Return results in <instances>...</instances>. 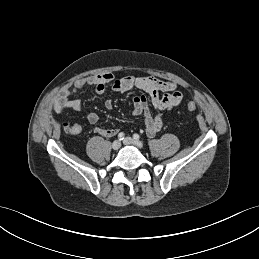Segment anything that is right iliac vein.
<instances>
[{"mask_svg": "<svg viewBox=\"0 0 259 259\" xmlns=\"http://www.w3.org/2000/svg\"><path fill=\"white\" fill-rule=\"evenodd\" d=\"M120 146H121V142H120L119 140H116V141H114V142L112 143V148H113L114 150H118V149L120 148Z\"/></svg>", "mask_w": 259, "mask_h": 259, "instance_id": "63e3f726", "label": "right iliac vein"}]
</instances>
